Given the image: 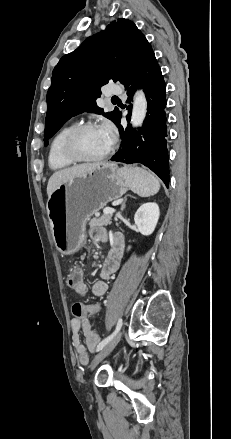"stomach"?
Instances as JSON below:
<instances>
[{
  "label": "stomach",
  "instance_id": "stomach-1",
  "mask_svg": "<svg viewBox=\"0 0 231 439\" xmlns=\"http://www.w3.org/2000/svg\"><path fill=\"white\" fill-rule=\"evenodd\" d=\"M128 188L120 169L113 163H103L62 183L47 201L57 250L64 255L77 252L85 239L89 218L108 202L121 198Z\"/></svg>",
  "mask_w": 231,
  "mask_h": 439
}]
</instances>
